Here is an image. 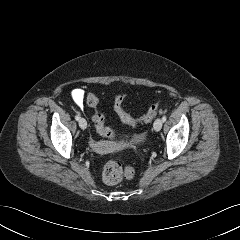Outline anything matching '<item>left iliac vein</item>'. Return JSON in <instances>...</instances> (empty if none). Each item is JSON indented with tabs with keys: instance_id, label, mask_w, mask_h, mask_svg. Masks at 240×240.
Here are the masks:
<instances>
[{
	"instance_id": "obj_1",
	"label": "left iliac vein",
	"mask_w": 240,
	"mask_h": 240,
	"mask_svg": "<svg viewBox=\"0 0 240 240\" xmlns=\"http://www.w3.org/2000/svg\"><path fill=\"white\" fill-rule=\"evenodd\" d=\"M162 124H163L162 119H160V118L156 119L155 122H154V125H153L154 130L157 131V132L160 131L161 128H162Z\"/></svg>"
}]
</instances>
